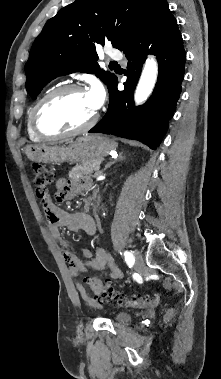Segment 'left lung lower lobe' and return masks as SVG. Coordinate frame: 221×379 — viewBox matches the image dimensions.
I'll return each mask as SVG.
<instances>
[{"instance_id":"1","label":"left lung lower lobe","mask_w":221,"mask_h":379,"mask_svg":"<svg viewBox=\"0 0 221 379\" xmlns=\"http://www.w3.org/2000/svg\"><path fill=\"white\" fill-rule=\"evenodd\" d=\"M128 62L124 91L117 78L108 87L110 99L105 116L89 133H106L139 140L156 149L176 108L184 75L185 51L177 21L163 1L150 23L121 50ZM149 53L157 56L158 79L150 99L134 106L133 93Z\"/></svg>"}]
</instances>
